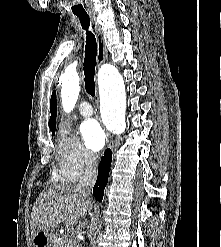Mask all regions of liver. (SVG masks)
Instances as JSON below:
<instances>
[{
    "label": "liver",
    "mask_w": 221,
    "mask_h": 247,
    "mask_svg": "<svg viewBox=\"0 0 221 247\" xmlns=\"http://www.w3.org/2000/svg\"><path fill=\"white\" fill-rule=\"evenodd\" d=\"M92 208L89 198L83 197L74 186L46 187L34 204L30 229L32 238L40 231H49L60 223L74 232L83 227L78 222Z\"/></svg>",
    "instance_id": "1"
}]
</instances>
